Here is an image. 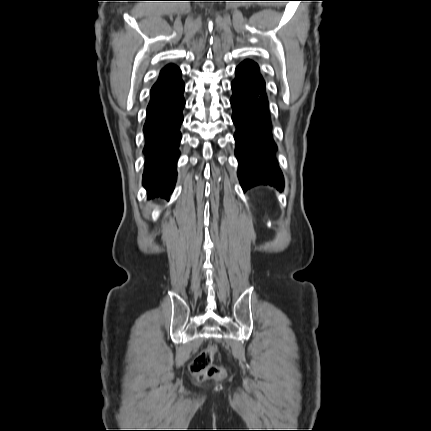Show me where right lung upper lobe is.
I'll return each instance as SVG.
<instances>
[{
	"instance_id": "1",
	"label": "right lung upper lobe",
	"mask_w": 431,
	"mask_h": 431,
	"mask_svg": "<svg viewBox=\"0 0 431 431\" xmlns=\"http://www.w3.org/2000/svg\"><path fill=\"white\" fill-rule=\"evenodd\" d=\"M179 77H180V71L175 65L169 64L165 66L160 72L159 79L152 87L151 93L162 89L163 87H165L166 85L173 82Z\"/></svg>"
}]
</instances>
